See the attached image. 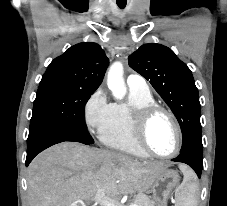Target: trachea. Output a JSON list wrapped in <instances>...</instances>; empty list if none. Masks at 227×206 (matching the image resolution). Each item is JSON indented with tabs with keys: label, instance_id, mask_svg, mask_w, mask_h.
Wrapping results in <instances>:
<instances>
[{
	"label": "trachea",
	"instance_id": "3493384b",
	"mask_svg": "<svg viewBox=\"0 0 227 206\" xmlns=\"http://www.w3.org/2000/svg\"><path fill=\"white\" fill-rule=\"evenodd\" d=\"M117 5H118V7L120 8V9H124L125 8V6H126V0H124L123 2H117Z\"/></svg>",
	"mask_w": 227,
	"mask_h": 206
}]
</instances>
